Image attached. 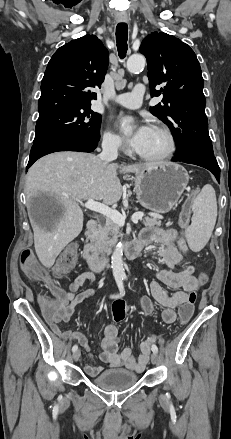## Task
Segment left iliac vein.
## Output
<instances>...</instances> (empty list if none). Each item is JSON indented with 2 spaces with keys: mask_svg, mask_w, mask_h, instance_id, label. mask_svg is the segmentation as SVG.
Instances as JSON below:
<instances>
[{
  "mask_svg": "<svg viewBox=\"0 0 231 439\" xmlns=\"http://www.w3.org/2000/svg\"><path fill=\"white\" fill-rule=\"evenodd\" d=\"M159 361H160V359H159L158 354L153 352L152 355H151V362L154 365H157L159 363Z\"/></svg>",
  "mask_w": 231,
  "mask_h": 439,
  "instance_id": "1",
  "label": "left iliac vein"
}]
</instances>
